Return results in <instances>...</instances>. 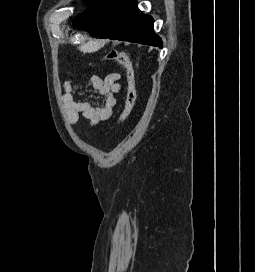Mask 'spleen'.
I'll list each match as a JSON object with an SVG mask.
<instances>
[{"mask_svg":"<svg viewBox=\"0 0 255 272\" xmlns=\"http://www.w3.org/2000/svg\"><path fill=\"white\" fill-rule=\"evenodd\" d=\"M104 45L103 42L96 41V40H91L88 41L87 43H84L79 47L80 51L84 53H92L97 50H99L102 46Z\"/></svg>","mask_w":255,"mask_h":272,"instance_id":"obj_1","label":"spleen"}]
</instances>
